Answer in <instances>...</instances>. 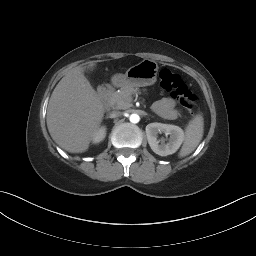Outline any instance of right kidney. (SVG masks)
<instances>
[{
	"label": "right kidney",
	"instance_id": "right-kidney-1",
	"mask_svg": "<svg viewBox=\"0 0 256 256\" xmlns=\"http://www.w3.org/2000/svg\"><path fill=\"white\" fill-rule=\"evenodd\" d=\"M106 136V128L103 126L99 128L93 135L92 141L93 143H99L101 142Z\"/></svg>",
	"mask_w": 256,
	"mask_h": 256
}]
</instances>
